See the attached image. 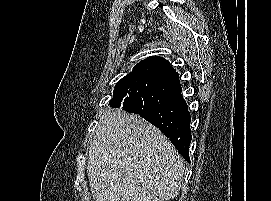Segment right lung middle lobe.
<instances>
[{"instance_id": "obj_1", "label": "right lung middle lobe", "mask_w": 271, "mask_h": 201, "mask_svg": "<svg viewBox=\"0 0 271 201\" xmlns=\"http://www.w3.org/2000/svg\"><path fill=\"white\" fill-rule=\"evenodd\" d=\"M150 79L149 71H134L126 75L116 84L109 105L119 108L126 97L142 93Z\"/></svg>"}]
</instances>
